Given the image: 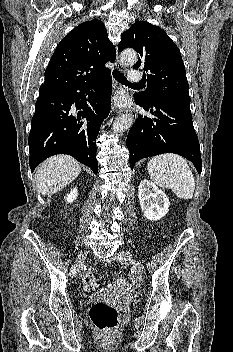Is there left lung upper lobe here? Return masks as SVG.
I'll use <instances>...</instances> for the list:
<instances>
[{
	"instance_id": "1",
	"label": "left lung upper lobe",
	"mask_w": 233,
	"mask_h": 352,
	"mask_svg": "<svg viewBox=\"0 0 233 352\" xmlns=\"http://www.w3.org/2000/svg\"><path fill=\"white\" fill-rule=\"evenodd\" d=\"M128 47L139 53L133 68L146 72V91L135 93V99L144 103L161 101L191 113L184 63L168 35L158 26L138 21L121 35L118 50Z\"/></svg>"
}]
</instances>
